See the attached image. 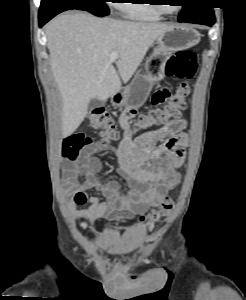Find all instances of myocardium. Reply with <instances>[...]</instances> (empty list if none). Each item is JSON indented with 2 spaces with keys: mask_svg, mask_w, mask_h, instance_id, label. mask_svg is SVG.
<instances>
[{
  "mask_svg": "<svg viewBox=\"0 0 246 300\" xmlns=\"http://www.w3.org/2000/svg\"><path fill=\"white\" fill-rule=\"evenodd\" d=\"M156 2L158 3V4H156L158 11L163 15H169V16L176 15L182 9L181 6H178V8L174 12H170L166 9V7L163 4L159 3V2H161L160 0H157Z\"/></svg>",
  "mask_w": 246,
  "mask_h": 300,
  "instance_id": "f54148a6",
  "label": "myocardium"
}]
</instances>
